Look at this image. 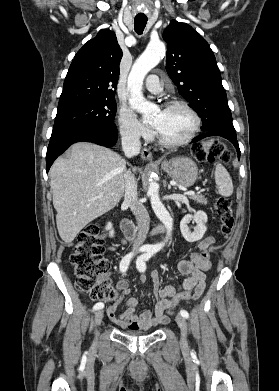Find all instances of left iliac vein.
Here are the masks:
<instances>
[{
  "label": "left iliac vein",
  "instance_id": "1",
  "mask_svg": "<svg viewBox=\"0 0 279 391\" xmlns=\"http://www.w3.org/2000/svg\"><path fill=\"white\" fill-rule=\"evenodd\" d=\"M175 320H176L178 326L181 329V340H180L181 347L182 348H187L188 347V342H187V330H188L187 321L181 315H177Z\"/></svg>",
  "mask_w": 279,
  "mask_h": 391
}]
</instances>
